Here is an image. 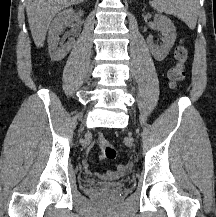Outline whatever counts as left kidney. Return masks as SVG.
I'll use <instances>...</instances> for the list:
<instances>
[{
    "label": "left kidney",
    "instance_id": "1",
    "mask_svg": "<svg viewBox=\"0 0 216 217\" xmlns=\"http://www.w3.org/2000/svg\"><path fill=\"white\" fill-rule=\"evenodd\" d=\"M154 23L157 29L162 33L163 44L158 46L153 42L152 38H147V44L154 58L158 61H162L167 57L170 49L174 45L176 29L172 21L163 15H155Z\"/></svg>",
    "mask_w": 216,
    "mask_h": 217
}]
</instances>
